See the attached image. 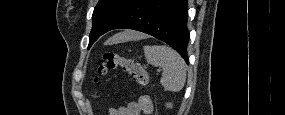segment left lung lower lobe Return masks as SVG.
Here are the masks:
<instances>
[{"label":"left lung lower lobe","mask_w":285,"mask_h":115,"mask_svg":"<svg viewBox=\"0 0 285 115\" xmlns=\"http://www.w3.org/2000/svg\"><path fill=\"white\" fill-rule=\"evenodd\" d=\"M187 19V0H132L108 25L106 32L128 28L147 33L166 42L188 62Z\"/></svg>","instance_id":"1"}]
</instances>
